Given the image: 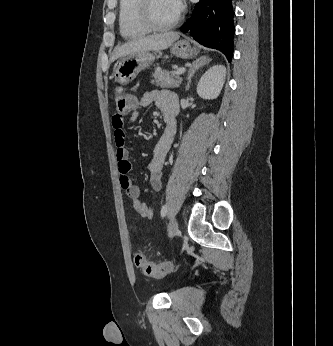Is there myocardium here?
I'll list each match as a JSON object with an SVG mask.
<instances>
[{
    "label": "myocardium",
    "mask_w": 333,
    "mask_h": 346,
    "mask_svg": "<svg viewBox=\"0 0 333 346\" xmlns=\"http://www.w3.org/2000/svg\"><path fill=\"white\" fill-rule=\"evenodd\" d=\"M141 18L145 25L154 31H165L174 27L181 18V10H178L176 15L166 23H159L155 20L152 14V0H140Z\"/></svg>",
    "instance_id": "f54148a6"
}]
</instances>
